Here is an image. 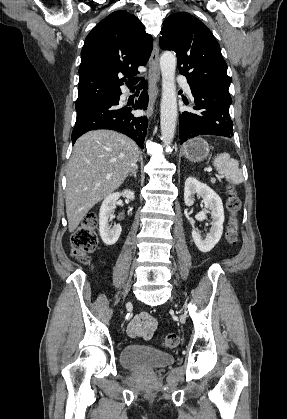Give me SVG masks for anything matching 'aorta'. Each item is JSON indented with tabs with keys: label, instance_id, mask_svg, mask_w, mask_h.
Segmentation results:
<instances>
[{
	"label": "aorta",
	"instance_id": "obj_1",
	"mask_svg": "<svg viewBox=\"0 0 287 419\" xmlns=\"http://www.w3.org/2000/svg\"><path fill=\"white\" fill-rule=\"evenodd\" d=\"M176 65L175 54L166 51L161 55L162 98L160 104V123L161 140L164 145H169L173 141L177 123Z\"/></svg>",
	"mask_w": 287,
	"mask_h": 419
}]
</instances>
